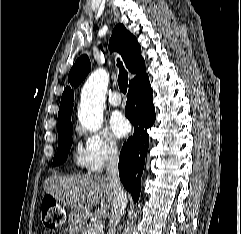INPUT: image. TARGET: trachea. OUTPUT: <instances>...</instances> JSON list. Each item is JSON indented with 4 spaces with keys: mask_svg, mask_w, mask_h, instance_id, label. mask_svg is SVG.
Listing matches in <instances>:
<instances>
[{
    "mask_svg": "<svg viewBox=\"0 0 241 234\" xmlns=\"http://www.w3.org/2000/svg\"><path fill=\"white\" fill-rule=\"evenodd\" d=\"M117 66L119 67V76H118V85L122 93L127 92V86H128V73L124 69L122 63L118 60Z\"/></svg>",
    "mask_w": 241,
    "mask_h": 234,
    "instance_id": "1",
    "label": "trachea"
}]
</instances>
